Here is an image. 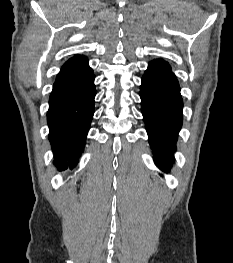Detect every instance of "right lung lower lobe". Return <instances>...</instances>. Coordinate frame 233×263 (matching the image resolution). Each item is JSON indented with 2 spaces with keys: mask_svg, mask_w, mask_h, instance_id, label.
Instances as JSON below:
<instances>
[{
  "mask_svg": "<svg viewBox=\"0 0 233 263\" xmlns=\"http://www.w3.org/2000/svg\"><path fill=\"white\" fill-rule=\"evenodd\" d=\"M93 70H61L49 97V141L58 170L73 167L84 150L94 114Z\"/></svg>",
  "mask_w": 233,
  "mask_h": 263,
  "instance_id": "1",
  "label": "right lung lower lobe"
}]
</instances>
